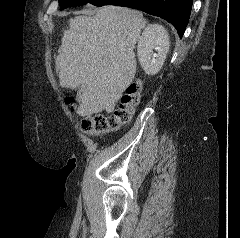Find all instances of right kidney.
I'll use <instances>...</instances> for the list:
<instances>
[{"instance_id": "right-kidney-1", "label": "right kidney", "mask_w": 240, "mask_h": 238, "mask_svg": "<svg viewBox=\"0 0 240 238\" xmlns=\"http://www.w3.org/2000/svg\"><path fill=\"white\" fill-rule=\"evenodd\" d=\"M157 53H154L153 50ZM169 51V36L159 24L148 25L139 38L137 54L141 67L148 75L157 74Z\"/></svg>"}]
</instances>
